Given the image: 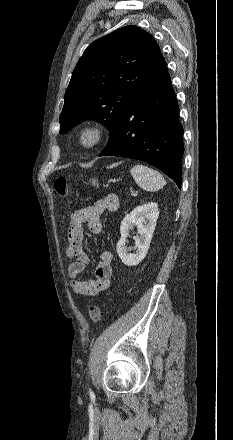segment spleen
Here are the masks:
<instances>
[{
  "instance_id": "1",
  "label": "spleen",
  "mask_w": 233,
  "mask_h": 440,
  "mask_svg": "<svg viewBox=\"0 0 233 440\" xmlns=\"http://www.w3.org/2000/svg\"><path fill=\"white\" fill-rule=\"evenodd\" d=\"M130 172L137 185L147 191L154 192L166 185L164 177L148 166L137 164Z\"/></svg>"
}]
</instances>
